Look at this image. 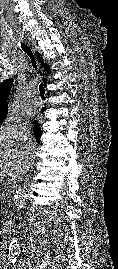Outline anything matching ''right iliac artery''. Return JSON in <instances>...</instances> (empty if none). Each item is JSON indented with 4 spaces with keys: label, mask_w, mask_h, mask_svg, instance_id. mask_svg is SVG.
Masks as SVG:
<instances>
[{
    "label": "right iliac artery",
    "mask_w": 118,
    "mask_h": 269,
    "mask_svg": "<svg viewBox=\"0 0 118 269\" xmlns=\"http://www.w3.org/2000/svg\"><path fill=\"white\" fill-rule=\"evenodd\" d=\"M9 260H10L11 263H15L16 260H17V256L12 255V256L9 257Z\"/></svg>",
    "instance_id": "right-iliac-artery-1"
}]
</instances>
